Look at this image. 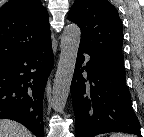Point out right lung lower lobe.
Returning a JSON list of instances; mask_svg holds the SVG:
<instances>
[{
	"instance_id": "98d812e1",
	"label": "right lung lower lobe",
	"mask_w": 144,
	"mask_h": 137,
	"mask_svg": "<svg viewBox=\"0 0 144 137\" xmlns=\"http://www.w3.org/2000/svg\"><path fill=\"white\" fill-rule=\"evenodd\" d=\"M53 64L50 39L0 66V118L44 137L43 97Z\"/></svg>"
}]
</instances>
